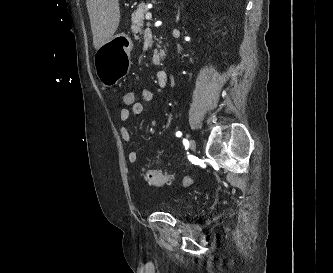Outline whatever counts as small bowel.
<instances>
[{
	"instance_id": "1",
	"label": "small bowel",
	"mask_w": 333,
	"mask_h": 273,
	"mask_svg": "<svg viewBox=\"0 0 333 273\" xmlns=\"http://www.w3.org/2000/svg\"><path fill=\"white\" fill-rule=\"evenodd\" d=\"M141 99L145 103L151 102L153 100L152 90H150L149 88L142 89ZM143 111H144L143 103L134 100L130 104V109L123 107L119 110L118 118H119L120 121L126 122L129 119L130 114L138 116V115H141L143 113ZM120 135H121V138L125 142L128 143L130 141L131 134H130V131L128 130L127 127L122 126L120 128ZM127 160L131 165L136 166L138 164V161H139L137 152L134 151V150H130L127 153Z\"/></svg>"
}]
</instances>
